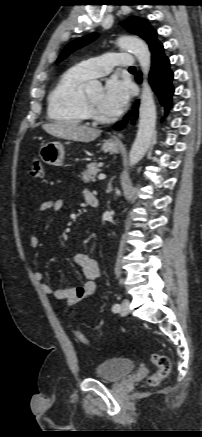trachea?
I'll use <instances>...</instances> for the list:
<instances>
[{"instance_id":"3493384b","label":"trachea","mask_w":202,"mask_h":437,"mask_svg":"<svg viewBox=\"0 0 202 437\" xmlns=\"http://www.w3.org/2000/svg\"><path fill=\"white\" fill-rule=\"evenodd\" d=\"M129 70H135V67H130Z\"/></svg>"}]
</instances>
